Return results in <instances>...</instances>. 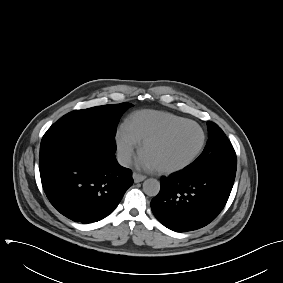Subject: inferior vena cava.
<instances>
[{"instance_id": "1", "label": "inferior vena cava", "mask_w": 283, "mask_h": 283, "mask_svg": "<svg viewBox=\"0 0 283 283\" xmlns=\"http://www.w3.org/2000/svg\"><path fill=\"white\" fill-rule=\"evenodd\" d=\"M117 160L120 165L129 167L131 164V154L127 152H120L117 154Z\"/></svg>"}]
</instances>
